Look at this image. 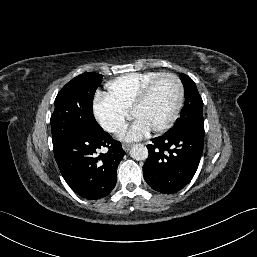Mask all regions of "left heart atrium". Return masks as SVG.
<instances>
[{"mask_svg":"<svg viewBox=\"0 0 257 257\" xmlns=\"http://www.w3.org/2000/svg\"><path fill=\"white\" fill-rule=\"evenodd\" d=\"M150 131V127L142 119H136L122 132L120 138L126 142L139 141L146 137Z\"/></svg>","mask_w":257,"mask_h":257,"instance_id":"1","label":"left heart atrium"}]
</instances>
